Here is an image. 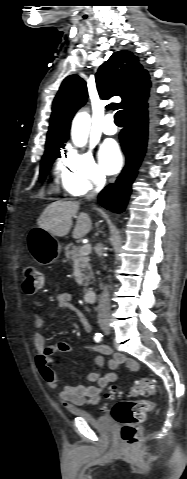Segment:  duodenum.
Masks as SVG:
<instances>
[{
    "instance_id": "duodenum-1",
    "label": "duodenum",
    "mask_w": 187,
    "mask_h": 479,
    "mask_svg": "<svg viewBox=\"0 0 187 479\" xmlns=\"http://www.w3.org/2000/svg\"><path fill=\"white\" fill-rule=\"evenodd\" d=\"M96 298H97V293H96L95 290H87V291L84 293V299H85V301H86L88 304H93V303H95Z\"/></svg>"
}]
</instances>
